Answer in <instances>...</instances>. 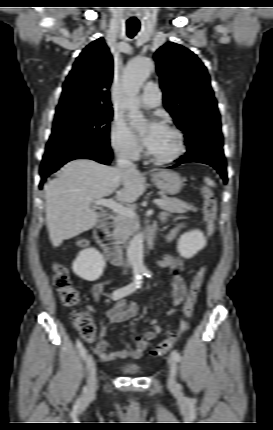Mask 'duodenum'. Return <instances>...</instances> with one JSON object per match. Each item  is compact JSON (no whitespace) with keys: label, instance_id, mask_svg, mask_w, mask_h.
Segmentation results:
<instances>
[{"label":"duodenum","instance_id":"1","mask_svg":"<svg viewBox=\"0 0 273 430\" xmlns=\"http://www.w3.org/2000/svg\"><path fill=\"white\" fill-rule=\"evenodd\" d=\"M95 237L98 244L103 248L107 257L115 265H123L125 258L122 248L116 243L108 230V218H104L95 230Z\"/></svg>","mask_w":273,"mask_h":430}]
</instances>
